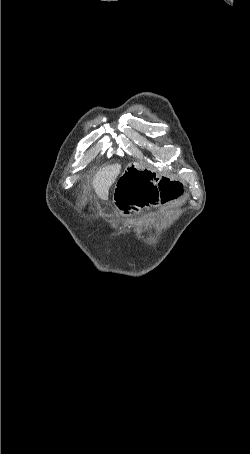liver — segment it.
Segmentation results:
<instances>
[{"label":"liver","mask_w":250,"mask_h":454,"mask_svg":"<svg viewBox=\"0 0 250 454\" xmlns=\"http://www.w3.org/2000/svg\"><path fill=\"white\" fill-rule=\"evenodd\" d=\"M121 170V165L114 164L101 168L93 178V187L101 199H107L109 189L115 182Z\"/></svg>","instance_id":"obj_1"}]
</instances>
